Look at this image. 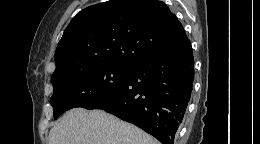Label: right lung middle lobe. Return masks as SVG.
I'll list each match as a JSON object with an SVG mask.
<instances>
[{
    "label": "right lung middle lobe",
    "instance_id": "right-lung-middle-lobe-1",
    "mask_svg": "<svg viewBox=\"0 0 260 144\" xmlns=\"http://www.w3.org/2000/svg\"><path fill=\"white\" fill-rule=\"evenodd\" d=\"M129 69L105 64L53 76L50 103L54 118L71 108H88L109 98L126 83Z\"/></svg>",
    "mask_w": 260,
    "mask_h": 144
}]
</instances>
